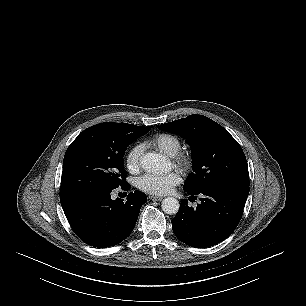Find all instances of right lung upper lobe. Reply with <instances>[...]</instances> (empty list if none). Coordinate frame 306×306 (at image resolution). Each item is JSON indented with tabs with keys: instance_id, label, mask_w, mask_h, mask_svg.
I'll return each mask as SVG.
<instances>
[{
	"instance_id": "right-lung-upper-lobe-1",
	"label": "right lung upper lobe",
	"mask_w": 306,
	"mask_h": 306,
	"mask_svg": "<svg viewBox=\"0 0 306 306\" xmlns=\"http://www.w3.org/2000/svg\"><path fill=\"white\" fill-rule=\"evenodd\" d=\"M105 123L113 124V125H116L118 127L126 129V130H136V131H141V130L149 129L151 127V126L141 127V126H135L133 124H126V123H113V122H105Z\"/></svg>"
}]
</instances>
